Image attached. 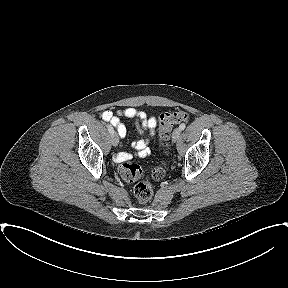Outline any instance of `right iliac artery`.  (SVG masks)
I'll list each match as a JSON object with an SVG mask.
<instances>
[{
    "mask_svg": "<svg viewBox=\"0 0 288 288\" xmlns=\"http://www.w3.org/2000/svg\"><path fill=\"white\" fill-rule=\"evenodd\" d=\"M107 128H108V131H109L110 134L114 133V129L112 128L111 125H107Z\"/></svg>",
    "mask_w": 288,
    "mask_h": 288,
    "instance_id": "82829eb1",
    "label": "right iliac artery"
}]
</instances>
